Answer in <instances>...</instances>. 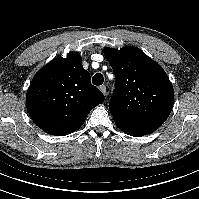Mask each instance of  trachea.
Masks as SVG:
<instances>
[{"mask_svg": "<svg viewBox=\"0 0 199 199\" xmlns=\"http://www.w3.org/2000/svg\"><path fill=\"white\" fill-rule=\"evenodd\" d=\"M103 81H104V78L101 73H96L92 78V83L96 86L102 85Z\"/></svg>", "mask_w": 199, "mask_h": 199, "instance_id": "obj_1", "label": "trachea"}]
</instances>
